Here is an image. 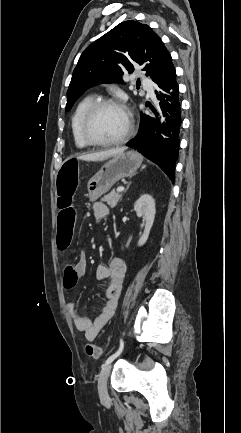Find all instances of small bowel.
<instances>
[{"instance_id":"1","label":"small bowel","mask_w":241,"mask_h":433,"mask_svg":"<svg viewBox=\"0 0 241 433\" xmlns=\"http://www.w3.org/2000/svg\"><path fill=\"white\" fill-rule=\"evenodd\" d=\"M62 168V167H60ZM57 176V175H56ZM55 179V183H56ZM56 191V188H55ZM57 194V192H56ZM95 219H103L108 216L109 208L102 202H95L92 206ZM59 217V216H58ZM86 271V255L84 252L79 254L77 262V272L84 275ZM126 273V263L120 257H113L108 265H98L96 268V278L98 280L109 279V284L105 292V302L100 313L94 318L89 319L81 315L73 302L67 304V310L73 320L75 328L85 334L88 341H93L101 329L114 315L117 308L119 295L122 289Z\"/></svg>"}]
</instances>
